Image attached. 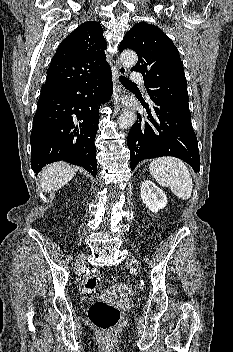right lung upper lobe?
I'll list each match as a JSON object with an SVG mask.
<instances>
[{"label": "right lung upper lobe", "mask_w": 233, "mask_h": 352, "mask_svg": "<svg viewBox=\"0 0 233 352\" xmlns=\"http://www.w3.org/2000/svg\"><path fill=\"white\" fill-rule=\"evenodd\" d=\"M105 48L100 23L89 21L81 24L57 48L41 90L60 92L101 75L110 69Z\"/></svg>", "instance_id": "obj_1"}]
</instances>
